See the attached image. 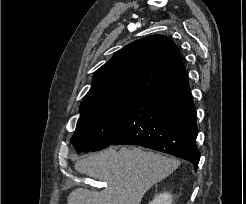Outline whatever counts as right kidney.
<instances>
[{"instance_id": "right-kidney-1", "label": "right kidney", "mask_w": 246, "mask_h": 204, "mask_svg": "<svg viewBox=\"0 0 246 204\" xmlns=\"http://www.w3.org/2000/svg\"><path fill=\"white\" fill-rule=\"evenodd\" d=\"M173 196L170 193H161L157 195L149 204H172Z\"/></svg>"}]
</instances>
